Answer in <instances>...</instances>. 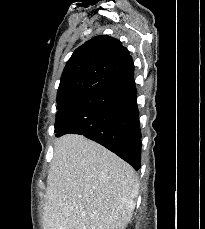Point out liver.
Returning a JSON list of instances; mask_svg holds the SVG:
<instances>
[{"label":"liver","instance_id":"1","mask_svg":"<svg viewBox=\"0 0 205 229\" xmlns=\"http://www.w3.org/2000/svg\"><path fill=\"white\" fill-rule=\"evenodd\" d=\"M139 183L133 168L84 136L55 141L43 229H118L132 217Z\"/></svg>","mask_w":205,"mask_h":229}]
</instances>
